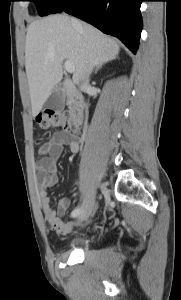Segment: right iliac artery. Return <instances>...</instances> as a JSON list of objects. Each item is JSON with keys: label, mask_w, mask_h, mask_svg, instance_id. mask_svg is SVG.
<instances>
[{"label": "right iliac artery", "mask_w": 181, "mask_h": 300, "mask_svg": "<svg viewBox=\"0 0 181 300\" xmlns=\"http://www.w3.org/2000/svg\"><path fill=\"white\" fill-rule=\"evenodd\" d=\"M81 212H82V209L78 207L72 211L71 217L75 218V217L79 216Z\"/></svg>", "instance_id": "1"}]
</instances>
